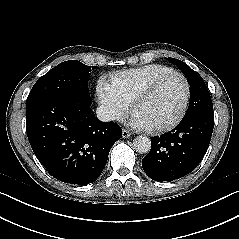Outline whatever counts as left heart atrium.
<instances>
[{
	"label": "left heart atrium",
	"instance_id": "39dd6f15",
	"mask_svg": "<svg viewBox=\"0 0 239 239\" xmlns=\"http://www.w3.org/2000/svg\"><path fill=\"white\" fill-rule=\"evenodd\" d=\"M131 124L134 128L139 129V130H144V129L148 128V126L135 115L131 120Z\"/></svg>",
	"mask_w": 239,
	"mask_h": 239
}]
</instances>
